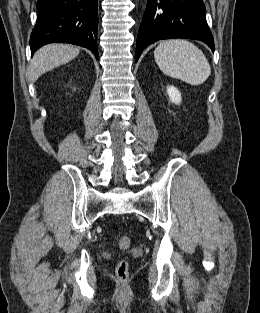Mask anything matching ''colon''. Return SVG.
<instances>
[{"instance_id": "1", "label": "colon", "mask_w": 260, "mask_h": 313, "mask_svg": "<svg viewBox=\"0 0 260 313\" xmlns=\"http://www.w3.org/2000/svg\"><path fill=\"white\" fill-rule=\"evenodd\" d=\"M115 244L121 249H127L130 246V239L126 235H118L114 238ZM129 274V264L128 261L123 259L120 260L116 266V276L125 281Z\"/></svg>"}]
</instances>
